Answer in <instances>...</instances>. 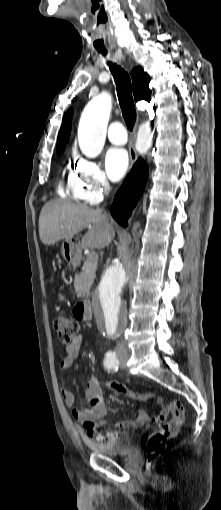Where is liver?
Instances as JSON below:
<instances>
[{
  "label": "liver",
  "instance_id": "obj_1",
  "mask_svg": "<svg viewBox=\"0 0 221 510\" xmlns=\"http://www.w3.org/2000/svg\"><path fill=\"white\" fill-rule=\"evenodd\" d=\"M88 227L82 237L81 247L103 249L115 236L113 226L106 221L102 212L86 205H76L62 199L47 202L39 217V237L44 245H53Z\"/></svg>",
  "mask_w": 221,
  "mask_h": 510
}]
</instances>
